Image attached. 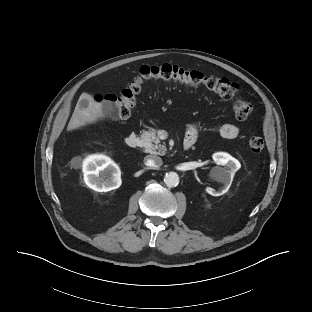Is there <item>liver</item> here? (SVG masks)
<instances>
[{"mask_svg":"<svg viewBox=\"0 0 312 312\" xmlns=\"http://www.w3.org/2000/svg\"><path fill=\"white\" fill-rule=\"evenodd\" d=\"M85 103H82V102ZM102 117L100 105L92 95L82 93L72 117L68 123L67 130L72 131L88 124L95 123Z\"/></svg>","mask_w":312,"mask_h":312,"instance_id":"6515ba94","label":"liver"}]
</instances>
